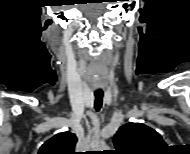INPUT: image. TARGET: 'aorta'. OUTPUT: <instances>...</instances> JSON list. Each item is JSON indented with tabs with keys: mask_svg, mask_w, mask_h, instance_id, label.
<instances>
[{
	"mask_svg": "<svg viewBox=\"0 0 190 154\" xmlns=\"http://www.w3.org/2000/svg\"><path fill=\"white\" fill-rule=\"evenodd\" d=\"M106 148H108V146H106V145H101V149H106Z\"/></svg>",
	"mask_w": 190,
	"mask_h": 154,
	"instance_id": "1",
	"label": "aorta"
}]
</instances>
